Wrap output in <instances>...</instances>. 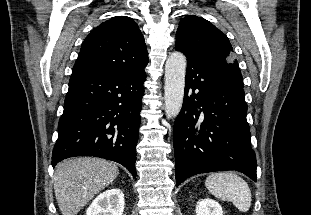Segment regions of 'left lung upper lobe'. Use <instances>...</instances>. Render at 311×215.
I'll return each instance as SVG.
<instances>
[{
    "mask_svg": "<svg viewBox=\"0 0 311 215\" xmlns=\"http://www.w3.org/2000/svg\"><path fill=\"white\" fill-rule=\"evenodd\" d=\"M175 48L243 88V77L230 41L209 21L194 15L184 17L177 29Z\"/></svg>",
    "mask_w": 311,
    "mask_h": 215,
    "instance_id": "1",
    "label": "left lung upper lobe"
}]
</instances>
